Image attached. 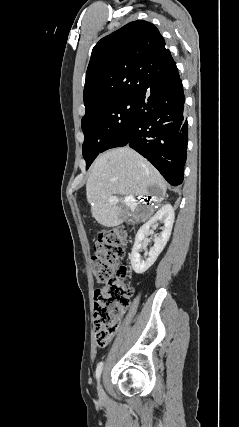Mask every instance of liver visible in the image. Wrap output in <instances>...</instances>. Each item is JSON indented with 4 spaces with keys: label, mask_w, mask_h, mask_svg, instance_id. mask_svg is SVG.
<instances>
[{
    "label": "liver",
    "mask_w": 239,
    "mask_h": 427,
    "mask_svg": "<svg viewBox=\"0 0 239 427\" xmlns=\"http://www.w3.org/2000/svg\"><path fill=\"white\" fill-rule=\"evenodd\" d=\"M156 186L162 201L166 190V181L154 166L129 147L109 150L97 157L90 168L86 184V196L91 204L92 216L105 227L121 224L134 212L135 206L120 201L110 204L109 196H145L149 187Z\"/></svg>",
    "instance_id": "1"
}]
</instances>
